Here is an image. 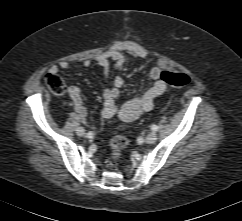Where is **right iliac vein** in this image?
Here are the masks:
<instances>
[{
  "label": "right iliac vein",
  "instance_id": "1",
  "mask_svg": "<svg viewBox=\"0 0 242 221\" xmlns=\"http://www.w3.org/2000/svg\"><path fill=\"white\" fill-rule=\"evenodd\" d=\"M76 133H77V135H79V136H84V135H85V130H84L82 127H79V128L76 130Z\"/></svg>",
  "mask_w": 242,
  "mask_h": 221
}]
</instances>
